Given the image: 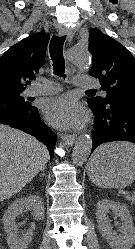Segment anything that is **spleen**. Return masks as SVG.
<instances>
[{"label": "spleen", "mask_w": 135, "mask_h": 249, "mask_svg": "<svg viewBox=\"0 0 135 249\" xmlns=\"http://www.w3.org/2000/svg\"><path fill=\"white\" fill-rule=\"evenodd\" d=\"M115 149L125 151L127 153H135V145L126 142H116Z\"/></svg>", "instance_id": "1"}]
</instances>
